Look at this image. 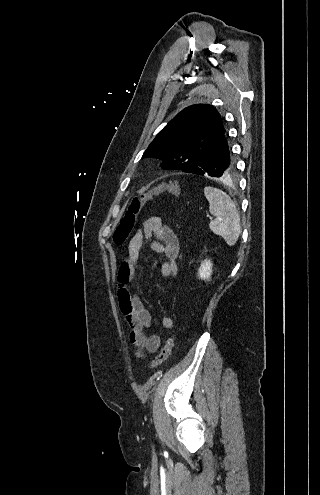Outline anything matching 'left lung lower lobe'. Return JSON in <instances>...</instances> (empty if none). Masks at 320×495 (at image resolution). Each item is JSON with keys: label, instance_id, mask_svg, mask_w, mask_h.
<instances>
[{"label": "left lung lower lobe", "instance_id": "obj_1", "mask_svg": "<svg viewBox=\"0 0 320 495\" xmlns=\"http://www.w3.org/2000/svg\"><path fill=\"white\" fill-rule=\"evenodd\" d=\"M235 170V159L228 146L225 132L215 144L201 155L196 163L183 171L201 176L226 178L232 175Z\"/></svg>", "mask_w": 320, "mask_h": 495}]
</instances>
